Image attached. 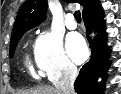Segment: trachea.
Segmentation results:
<instances>
[{"mask_svg": "<svg viewBox=\"0 0 121 94\" xmlns=\"http://www.w3.org/2000/svg\"><path fill=\"white\" fill-rule=\"evenodd\" d=\"M74 17L76 19V21L80 22L81 21V13L79 10H77L75 13H74Z\"/></svg>", "mask_w": 121, "mask_h": 94, "instance_id": "obj_1", "label": "trachea"}]
</instances>
